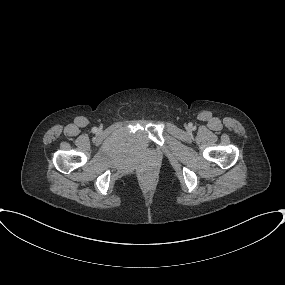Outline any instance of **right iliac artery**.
<instances>
[{
	"label": "right iliac artery",
	"instance_id": "obj_1",
	"mask_svg": "<svg viewBox=\"0 0 285 285\" xmlns=\"http://www.w3.org/2000/svg\"><path fill=\"white\" fill-rule=\"evenodd\" d=\"M92 131H93V132H96V131H97V128H96V127H94V128L92 129Z\"/></svg>",
	"mask_w": 285,
	"mask_h": 285
}]
</instances>
